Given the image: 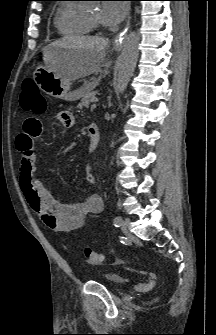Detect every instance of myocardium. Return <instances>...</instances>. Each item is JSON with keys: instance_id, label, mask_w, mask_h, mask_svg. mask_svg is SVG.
Segmentation results:
<instances>
[{"instance_id": "obj_1", "label": "myocardium", "mask_w": 216, "mask_h": 335, "mask_svg": "<svg viewBox=\"0 0 216 335\" xmlns=\"http://www.w3.org/2000/svg\"><path fill=\"white\" fill-rule=\"evenodd\" d=\"M88 19L93 26H98V21L91 19L89 16Z\"/></svg>"}]
</instances>
